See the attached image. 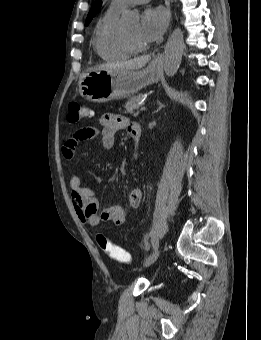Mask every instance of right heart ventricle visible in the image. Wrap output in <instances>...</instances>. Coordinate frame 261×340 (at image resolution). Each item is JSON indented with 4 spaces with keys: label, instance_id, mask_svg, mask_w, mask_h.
<instances>
[{
    "label": "right heart ventricle",
    "instance_id": "obj_1",
    "mask_svg": "<svg viewBox=\"0 0 261 340\" xmlns=\"http://www.w3.org/2000/svg\"><path fill=\"white\" fill-rule=\"evenodd\" d=\"M120 10L109 7L97 24L93 46L98 56L105 61H117L133 55L125 40L124 32L119 27Z\"/></svg>",
    "mask_w": 261,
    "mask_h": 340
}]
</instances>
